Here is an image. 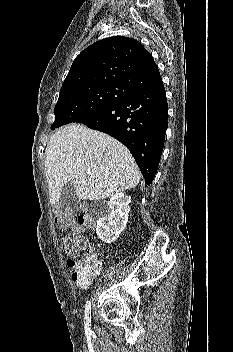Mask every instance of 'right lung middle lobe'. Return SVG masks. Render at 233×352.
Here are the masks:
<instances>
[{
    "instance_id": "1",
    "label": "right lung middle lobe",
    "mask_w": 233,
    "mask_h": 352,
    "mask_svg": "<svg viewBox=\"0 0 233 352\" xmlns=\"http://www.w3.org/2000/svg\"><path fill=\"white\" fill-rule=\"evenodd\" d=\"M134 91L121 85L78 88L62 95L55 106L51 129L87 119L128 97Z\"/></svg>"
}]
</instances>
